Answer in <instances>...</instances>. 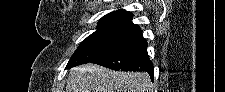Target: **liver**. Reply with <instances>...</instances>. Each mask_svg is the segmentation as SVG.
Masks as SVG:
<instances>
[{
	"instance_id": "liver-1",
	"label": "liver",
	"mask_w": 225,
	"mask_h": 92,
	"mask_svg": "<svg viewBox=\"0 0 225 92\" xmlns=\"http://www.w3.org/2000/svg\"><path fill=\"white\" fill-rule=\"evenodd\" d=\"M146 72H116L95 64L69 71L66 92H153Z\"/></svg>"
}]
</instances>
